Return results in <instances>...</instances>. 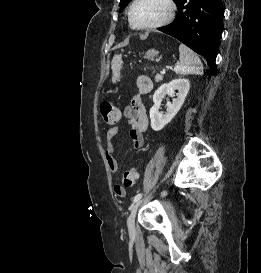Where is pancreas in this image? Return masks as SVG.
I'll list each match as a JSON object with an SVG mask.
<instances>
[{"label":"pancreas","instance_id":"1","mask_svg":"<svg viewBox=\"0 0 261 273\" xmlns=\"http://www.w3.org/2000/svg\"><path fill=\"white\" fill-rule=\"evenodd\" d=\"M163 79V75L162 74H156V76H155V81L156 82H159V81H161Z\"/></svg>","mask_w":261,"mask_h":273}]
</instances>
